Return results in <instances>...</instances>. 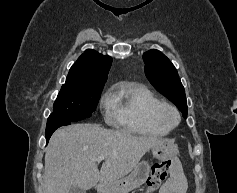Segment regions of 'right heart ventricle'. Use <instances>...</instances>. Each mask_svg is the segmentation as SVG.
Returning <instances> with one entry per match:
<instances>
[{
    "instance_id": "1",
    "label": "right heart ventricle",
    "mask_w": 237,
    "mask_h": 193,
    "mask_svg": "<svg viewBox=\"0 0 237 193\" xmlns=\"http://www.w3.org/2000/svg\"><path fill=\"white\" fill-rule=\"evenodd\" d=\"M110 121L135 135L164 136L169 129L157 123L154 110L162 101L147 87L124 83L110 96Z\"/></svg>"
}]
</instances>
